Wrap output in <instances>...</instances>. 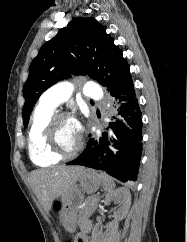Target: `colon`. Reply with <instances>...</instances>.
<instances>
[{"mask_svg":"<svg viewBox=\"0 0 187 242\" xmlns=\"http://www.w3.org/2000/svg\"><path fill=\"white\" fill-rule=\"evenodd\" d=\"M68 242H77V239H74V240H70Z\"/></svg>","mask_w":187,"mask_h":242,"instance_id":"colon-1","label":"colon"}]
</instances>
